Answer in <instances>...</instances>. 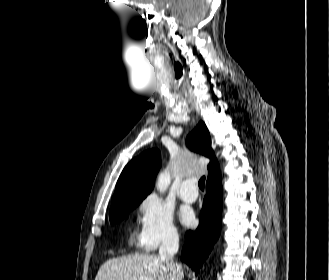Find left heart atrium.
<instances>
[{
    "instance_id": "39dd6f15",
    "label": "left heart atrium",
    "mask_w": 329,
    "mask_h": 280,
    "mask_svg": "<svg viewBox=\"0 0 329 280\" xmlns=\"http://www.w3.org/2000/svg\"><path fill=\"white\" fill-rule=\"evenodd\" d=\"M180 219H181L182 223L187 226H191L195 222L194 213L188 207H184L181 209Z\"/></svg>"
}]
</instances>
